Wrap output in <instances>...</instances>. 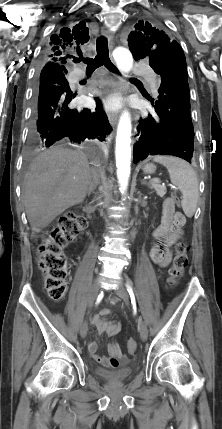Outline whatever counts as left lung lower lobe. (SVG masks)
Masks as SVG:
<instances>
[{"instance_id": "left-lung-lower-lobe-1", "label": "left lung lower lobe", "mask_w": 222, "mask_h": 429, "mask_svg": "<svg viewBox=\"0 0 222 429\" xmlns=\"http://www.w3.org/2000/svg\"><path fill=\"white\" fill-rule=\"evenodd\" d=\"M157 74L161 76V84L154 105L156 115L149 114L139 120L138 141L133 147L134 163L148 155H173L191 163L194 128L188 77L177 67L166 64Z\"/></svg>"}]
</instances>
